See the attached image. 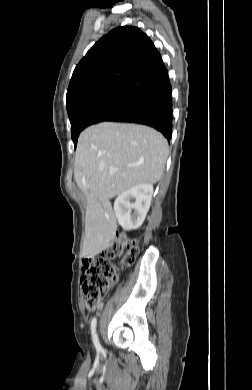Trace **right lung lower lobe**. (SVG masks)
Segmentation results:
<instances>
[{
  "mask_svg": "<svg viewBox=\"0 0 252 390\" xmlns=\"http://www.w3.org/2000/svg\"><path fill=\"white\" fill-rule=\"evenodd\" d=\"M106 121L147 125L160 131L168 140L172 136V97L169 77L146 88L124 110Z\"/></svg>",
  "mask_w": 252,
  "mask_h": 390,
  "instance_id": "obj_1",
  "label": "right lung lower lobe"
}]
</instances>
